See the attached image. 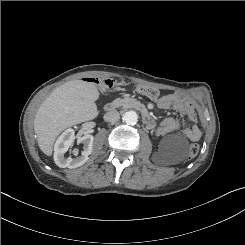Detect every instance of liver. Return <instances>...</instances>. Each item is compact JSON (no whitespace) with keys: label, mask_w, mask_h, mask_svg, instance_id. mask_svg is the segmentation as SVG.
Returning <instances> with one entry per match:
<instances>
[{"label":"liver","mask_w":245,"mask_h":245,"mask_svg":"<svg viewBox=\"0 0 245 245\" xmlns=\"http://www.w3.org/2000/svg\"><path fill=\"white\" fill-rule=\"evenodd\" d=\"M98 98L97 87L83 80L69 81L56 88L40 105L34 119L41 151L52 155L54 142L63 130L96 118Z\"/></svg>","instance_id":"6515ba94"}]
</instances>
